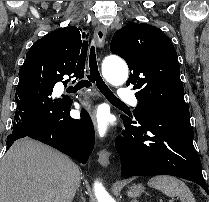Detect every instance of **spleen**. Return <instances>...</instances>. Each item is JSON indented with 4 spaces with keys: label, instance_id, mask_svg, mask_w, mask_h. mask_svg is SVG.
<instances>
[{
    "label": "spleen",
    "instance_id": "1",
    "mask_svg": "<svg viewBox=\"0 0 209 202\" xmlns=\"http://www.w3.org/2000/svg\"><path fill=\"white\" fill-rule=\"evenodd\" d=\"M148 186L160 190L169 197H178L181 202H196L188 186L176 177L155 176L148 181Z\"/></svg>",
    "mask_w": 209,
    "mask_h": 202
}]
</instances>
